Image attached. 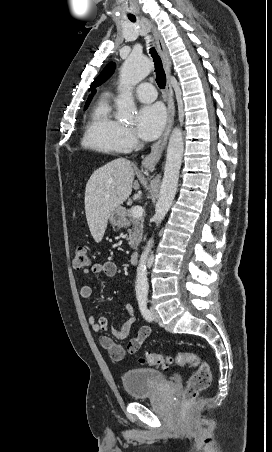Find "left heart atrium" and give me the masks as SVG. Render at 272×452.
Masks as SVG:
<instances>
[{
	"label": "left heart atrium",
	"instance_id": "39dd6f15",
	"mask_svg": "<svg viewBox=\"0 0 272 452\" xmlns=\"http://www.w3.org/2000/svg\"><path fill=\"white\" fill-rule=\"evenodd\" d=\"M166 123L165 109L161 104L143 107L137 118V131L146 140L155 139L160 135Z\"/></svg>",
	"mask_w": 272,
	"mask_h": 452
}]
</instances>
